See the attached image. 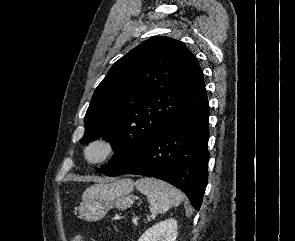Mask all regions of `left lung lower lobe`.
<instances>
[{
	"label": "left lung lower lobe",
	"instance_id": "obj_1",
	"mask_svg": "<svg viewBox=\"0 0 295 241\" xmlns=\"http://www.w3.org/2000/svg\"><path fill=\"white\" fill-rule=\"evenodd\" d=\"M208 117L205 99L161 129L107 176L136 174L164 180L181 189L199 210L208 179Z\"/></svg>",
	"mask_w": 295,
	"mask_h": 241
}]
</instances>
